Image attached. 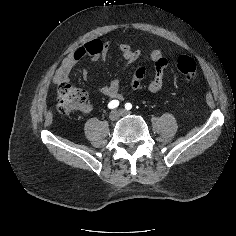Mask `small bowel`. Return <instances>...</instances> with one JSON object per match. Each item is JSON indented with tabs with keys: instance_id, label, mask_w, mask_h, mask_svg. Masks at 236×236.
<instances>
[{
	"instance_id": "small-bowel-1",
	"label": "small bowel",
	"mask_w": 236,
	"mask_h": 236,
	"mask_svg": "<svg viewBox=\"0 0 236 236\" xmlns=\"http://www.w3.org/2000/svg\"><path fill=\"white\" fill-rule=\"evenodd\" d=\"M111 45L112 43L109 40L101 41L98 39H93L76 48L72 53L63 59L55 72L53 82L58 86L68 84L70 80V73L76 63L85 58H89L93 62L104 61ZM118 48L123 59L127 63L134 62L141 54L140 50L132 48L128 44H121ZM150 59L154 66V76L148 84V90L151 93H157L161 90L166 77L167 60L159 49H154L150 52ZM82 76L84 80H88L89 78L87 71H84ZM98 90L100 93L112 100H119L122 98V94L119 90V81L117 79L112 80L107 84L98 85ZM81 110L83 113H89L92 110V105L85 104Z\"/></svg>"
}]
</instances>
